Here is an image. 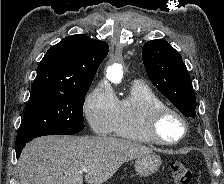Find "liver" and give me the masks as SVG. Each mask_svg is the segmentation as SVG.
<instances>
[{
	"label": "liver",
	"mask_w": 224,
	"mask_h": 184,
	"mask_svg": "<svg viewBox=\"0 0 224 184\" xmlns=\"http://www.w3.org/2000/svg\"><path fill=\"white\" fill-rule=\"evenodd\" d=\"M152 153L143 145L114 137L46 136L26 145L18 161L20 184H102L119 167Z\"/></svg>",
	"instance_id": "liver-1"
}]
</instances>
